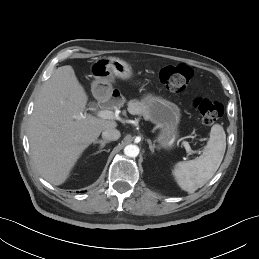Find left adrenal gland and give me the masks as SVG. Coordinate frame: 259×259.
<instances>
[{"instance_id": "1", "label": "left adrenal gland", "mask_w": 259, "mask_h": 259, "mask_svg": "<svg viewBox=\"0 0 259 259\" xmlns=\"http://www.w3.org/2000/svg\"><path fill=\"white\" fill-rule=\"evenodd\" d=\"M147 142L149 144V149H150L151 153L153 154L154 150H155V144H152L150 139H147Z\"/></svg>"}]
</instances>
